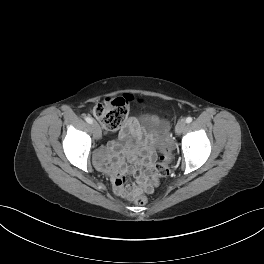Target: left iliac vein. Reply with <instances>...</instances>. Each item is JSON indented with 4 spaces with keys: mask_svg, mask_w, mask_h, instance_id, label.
Wrapping results in <instances>:
<instances>
[{
    "mask_svg": "<svg viewBox=\"0 0 264 264\" xmlns=\"http://www.w3.org/2000/svg\"><path fill=\"white\" fill-rule=\"evenodd\" d=\"M185 125H186V122L184 120L178 121V123L176 124V127H175V132L177 134H180L183 131V129L185 128Z\"/></svg>",
    "mask_w": 264,
    "mask_h": 264,
    "instance_id": "left-iliac-vein-1",
    "label": "left iliac vein"
}]
</instances>
